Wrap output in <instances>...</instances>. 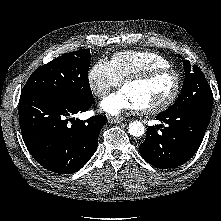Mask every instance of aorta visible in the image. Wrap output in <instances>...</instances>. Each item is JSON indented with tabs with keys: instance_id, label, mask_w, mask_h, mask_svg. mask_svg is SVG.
Instances as JSON below:
<instances>
[{
	"instance_id": "762f6f07",
	"label": "aorta",
	"mask_w": 221,
	"mask_h": 221,
	"mask_svg": "<svg viewBox=\"0 0 221 221\" xmlns=\"http://www.w3.org/2000/svg\"><path fill=\"white\" fill-rule=\"evenodd\" d=\"M129 133L134 137H140L144 134L145 128L140 121H133L128 127Z\"/></svg>"
}]
</instances>
